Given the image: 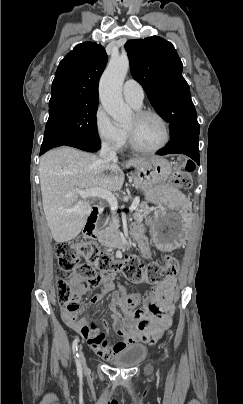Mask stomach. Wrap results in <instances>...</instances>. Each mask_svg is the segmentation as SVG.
I'll return each instance as SVG.
<instances>
[{
	"mask_svg": "<svg viewBox=\"0 0 243 404\" xmlns=\"http://www.w3.org/2000/svg\"><path fill=\"white\" fill-rule=\"evenodd\" d=\"M172 167L161 157L148 158L135 166L134 184L147 201L156 205L148 223L155 245L162 251H172L184 242L191 226L192 210L187 197L168 184Z\"/></svg>",
	"mask_w": 243,
	"mask_h": 404,
	"instance_id": "obj_1",
	"label": "stomach"
}]
</instances>
